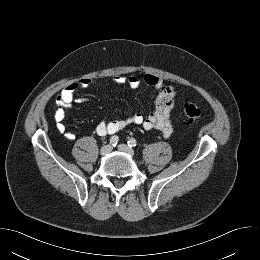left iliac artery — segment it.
<instances>
[{"label": "left iliac artery", "instance_id": "left-iliac-artery-1", "mask_svg": "<svg viewBox=\"0 0 260 260\" xmlns=\"http://www.w3.org/2000/svg\"><path fill=\"white\" fill-rule=\"evenodd\" d=\"M127 143H128V146L131 147V148L135 147L136 144H137V142L134 138H131Z\"/></svg>", "mask_w": 260, "mask_h": 260}]
</instances>
